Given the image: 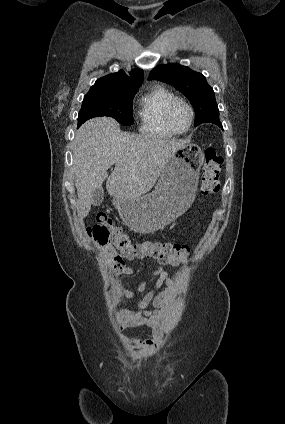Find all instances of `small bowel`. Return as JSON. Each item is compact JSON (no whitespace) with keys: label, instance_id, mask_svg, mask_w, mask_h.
Returning <instances> with one entry per match:
<instances>
[{"label":"small bowel","instance_id":"1","mask_svg":"<svg viewBox=\"0 0 285 424\" xmlns=\"http://www.w3.org/2000/svg\"><path fill=\"white\" fill-rule=\"evenodd\" d=\"M147 268L152 276L157 279L153 289L147 290L146 282L140 283L136 290H130L123 286L119 287V292L124 298L138 296L137 305L140 311L118 312L117 324L115 326L119 340L136 348V354H151L155 351L156 342L153 339L127 338L121 334V331L126 328L134 329L153 326L161 314L160 309L166 305L175 291L173 278L163 266L148 263ZM121 273L125 276H130L135 273V269L124 267ZM163 286L164 289L158 291ZM151 308H155L156 310H151Z\"/></svg>","mask_w":285,"mask_h":424}]
</instances>
